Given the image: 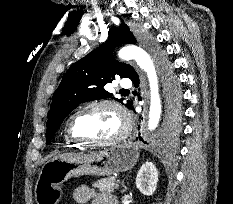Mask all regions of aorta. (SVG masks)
<instances>
[{"label": "aorta", "instance_id": "obj_1", "mask_svg": "<svg viewBox=\"0 0 233 204\" xmlns=\"http://www.w3.org/2000/svg\"><path fill=\"white\" fill-rule=\"evenodd\" d=\"M118 55L119 58L123 60L134 59L138 66L147 74L150 84V111L148 118V130L153 131L158 126L162 113L158 77L153 60L145 50L134 45L123 47L120 49Z\"/></svg>", "mask_w": 233, "mask_h": 204}]
</instances>
